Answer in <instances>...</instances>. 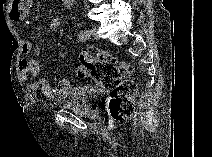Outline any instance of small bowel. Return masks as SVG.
Wrapping results in <instances>:
<instances>
[{"label": "small bowel", "mask_w": 212, "mask_h": 157, "mask_svg": "<svg viewBox=\"0 0 212 157\" xmlns=\"http://www.w3.org/2000/svg\"><path fill=\"white\" fill-rule=\"evenodd\" d=\"M32 3L33 0H13L9 4L8 17L12 21L26 19L30 14ZM64 5L69 7L71 1L65 0ZM60 25L61 21L59 19L52 20L50 23V31H56ZM22 53L25 56L32 55V57L22 58L19 62V72L22 81L26 82L29 77L38 78L35 83L30 85L31 88H39L47 97L61 96L71 89V82L69 79H62L55 84L42 76L44 69L37 59L39 48L34 39H27L23 42Z\"/></svg>", "instance_id": "c3829d8e"}]
</instances>
